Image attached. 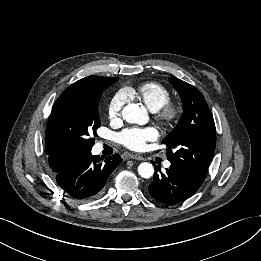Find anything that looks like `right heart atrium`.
<instances>
[{"label": "right heart atrium", "mask_w": 261, "mask_h": 261, "mask_svg": "<svg viewBox=\"0 0 261 261\" xmlns=\"http://www.w3.org/2000/svg\"><path fill=\"white\" fill-rule=\"evenodd\" d=\"M126 92L120 90L116 92L109 100L107 106V115L110 121L117 122L121 119L122 110L126 102Z\"/></svg>", "instance_id": "1"}]
</instances>
